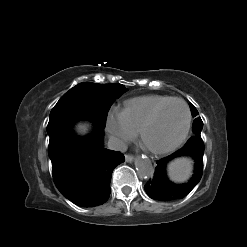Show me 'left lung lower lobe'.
<instances>
[{"instance_id":"0a47b994","label":"left lung lower lobe","mask_w":247,"mask_h":247,"mask_svg":"<svg viewBox=\"0 0 247 247\" xmlns=\"http://www.w3.org/2000/svg\"><path fill=\"white\" fill-rule=\"evenodd\" d=\"M203 155L204 143L201 136H193L183 148L157 161L153 179L149 180L144 186L148 196L160 201L176 200L185 197L198 184L202 177ZM181 156H189L194 160V175L188 183L175 185L168 181L165 174V167L169 161Z\"/></svg>"}]
</instances>
